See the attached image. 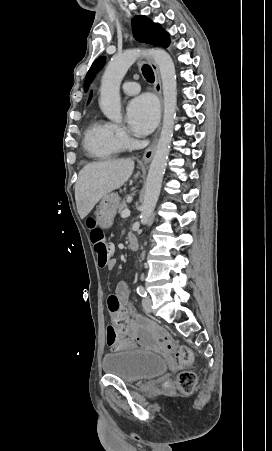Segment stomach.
I'll list each match as a JSON object with an SVG mask.
<instances>
[{
  "label": "stomach",
  "instance_id": "1",
  "mask_svg": "<svg viewBox=\"0 0 272 451\" xmlns=\"http://www.w3.org/2000/svg\"><path fill=\"white\" fill-rule=\"evenodd\" d=\"M120 204L118 194H106L97 206L96 218L100 227H111Z\"/></svg>",
  "mask_w": 272,
  "mask_h": 451
}]
</instances>
